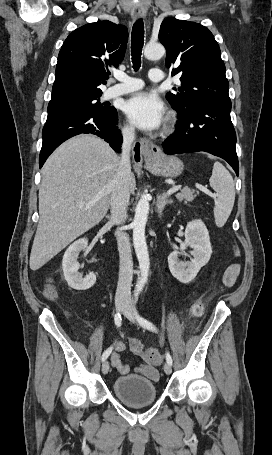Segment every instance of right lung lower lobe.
<instances>
[{
  "instance_id": "obj_1",
  "label": "right lung lower lobe",
  "mask_w": 272,
  "mask_h": 455,
  "mask_svg": "<svg viewBox=\"0 0 272 455\" xmlns=\"http://www.w3.org/2000/svg\"><path fill=\"white\" fill-rule=\"evenodd\" d=\"M117 123L116 109L108 115L70 112L47 118L42 131L43 143L39 156L40 168L61 143L81 133L95 134L108 142L115 151H120L122 136L116 126Z\"/></svg>"
}]
</instances>
